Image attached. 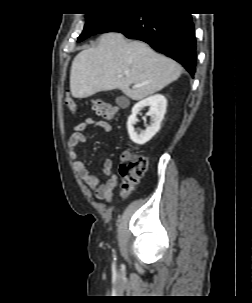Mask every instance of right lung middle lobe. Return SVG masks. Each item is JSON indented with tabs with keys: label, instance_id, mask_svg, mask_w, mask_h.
I'll list each match as a JSON object with an SVG mask.
<instances>
[{
	"label": "right lung middle lobe",
	"instance_id": "1",
	"mask_svg": "<svg viewBox=\"0 0 252 303\" xmlns=\"http://www.w3.org/2000/svg\"><path fill=\"white\" fill-rule=\"evenodd\" d=\"M127 10L119 12L107 13H90L86 14V24L82 34L78 38V42L90 37L91 35L100 33L107 25L115 21L118 17L123 15Z\"/></svg>",
	"mask_w": 252,
	"mask_h": 303
}]
</instances>
